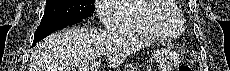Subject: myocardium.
Listing matches in <instances>:
<instances>
[{
  "label": "myocardium",
  "mask_w": 230,
  "mask_h": 71,
  "mask_svg": "<svg viewBox=\"0 0 230 71\" xmlns=\"http://www.w3.org/2000/svg\"><path fill=\"white\" fill-rule=\"evenodd\" d=\"M157 1L167 2V1H175V0H157Z\"/></svg>",
  "instance_id": "obj_1"
}]
</instances>
